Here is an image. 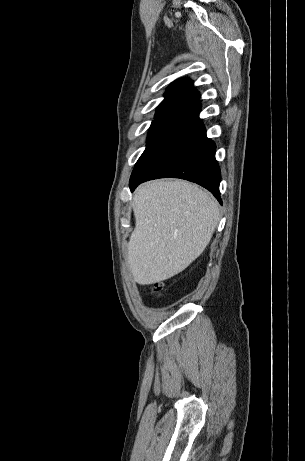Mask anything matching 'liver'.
<instances>
[{"mask_svg": "<svg viewBox=\"0 0 305 461\" xmlns=\"http://www.w3.org/2000/svg\"><path fill=\"white\" fill-rule=\"evenodd\" d=\"M133 211L128 263L140 285L167 280L187 268L203 253L219 221L217 202L183 180L140 185Z\"/></svg>", "mask_w": 305, "mask_h": 461, "instance_id": "6515ba94", "label": "liver"}]
</instances>
